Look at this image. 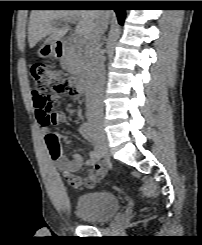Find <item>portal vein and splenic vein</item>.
Returning <instances> with one entry per match:
<instances>
[{"label": "portal vein and splenic vein", "instance_id": "1", "mask_svg": "<svg viewBox=\"0 0 202 245\" xmlns=\"http://www.w3.org/2000/svg\"><path fill=\"white\" fill-rule=\"evenodd\" d=\"M65 23H75L74 19H67L64 21ZM74 43L76 45H82L84 43V38L80 33H77L76 36L74 37Z\"/></svg>", "mask_w": 202, "mask_h": 245}]
</instances>
